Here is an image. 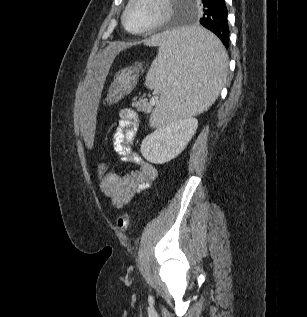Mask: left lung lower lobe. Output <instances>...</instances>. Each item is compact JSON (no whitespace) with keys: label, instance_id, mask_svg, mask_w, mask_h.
<instances>
[{"label":"left lung lower lobe","instance_id":"left-lung-lower-lobe-1","mask_svg":"<svg viewBox=\"0 0 307 317\" xmlns=\"http://www.w3.org/2000/svg\"><path fill=\"white\" fill-rule=\"evenodd\" d=\"M203 17L200 24L212 31L224 44L229 47V27L227 7L224 0H201ZM213 55L210 59L213 60Z\"/></svg>","mask_w":307,"mask_h":317}]
</instances>
